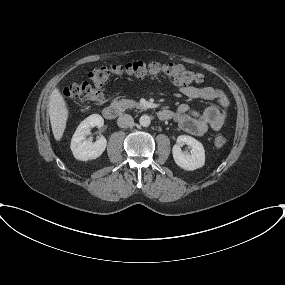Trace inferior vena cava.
<instances>
[{"label":"inferior vena cava","instance_id":"1","mask_svg":"<svg viewBox=\"0 0 285 285\" xmlns=\"http://www.w3.org/2000/svg\"><path fill=\"white\" fill-rule=\"evenodd\" d=\"M134 123V119L131 115L129 114H122L118 117L117 119V124L121 128H127L132 126Z\"/></svg>","mask_w":285,"mask_h":285}]
</instances>
